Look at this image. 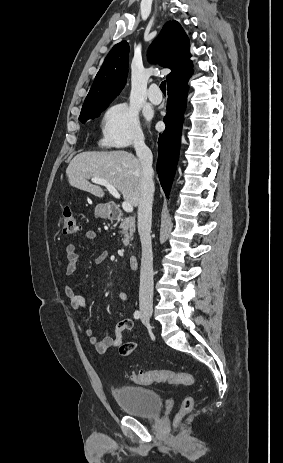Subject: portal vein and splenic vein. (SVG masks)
Here are the masks:
<instances>
[{"label": "portal vein and splenic vein", "mask_w": 283, "mask_h": 463, "mask_svg": "<svg viewBox=\"0 0 283 463\" xmlns=\"http://www.w3.org/2000/svg\"><path fill=\"white\" fill-rule=\"evenodd\" d=\"M91 181L93 183H96V184H100V185H103L105 186L108 191L115 197V198H120V194L118 192V190L113 186L111 185L108 181L104 180V179H100V178H91ZM122 208L125 212H132L133 211V206L131 203L127 202V201H124L122 203Z\"/></svg>", "instance_id": "portal-vein-and-splenic-vein-1"}]
</instances>
